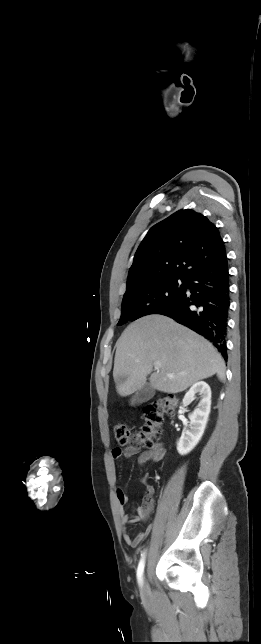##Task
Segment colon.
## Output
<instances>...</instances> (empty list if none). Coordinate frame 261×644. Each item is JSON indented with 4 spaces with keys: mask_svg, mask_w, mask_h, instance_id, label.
I'll use <instances>...</instances> for the list:
<instances>
[{
    "mask_svg": "<svg viewBox=\"0 0 261 644\" xmlns=\"http://www.w3.org/2000/svg\"><path fill=\"white\" fill-rule=\"evenodd\" d=\"M178 404L174 395H165L155 402L147 404L143 409L144 424L141 430L132 435L125 424H116L114 434L117 442L121 445H132L152 447L154 442L161 436V426L164 415H173Z\"/></svg>",
    "mask_w": 261,
    "mask_h": 644,
    "instance_id": "5ec220e1",
    "label": "colon"
}]
</instances>
